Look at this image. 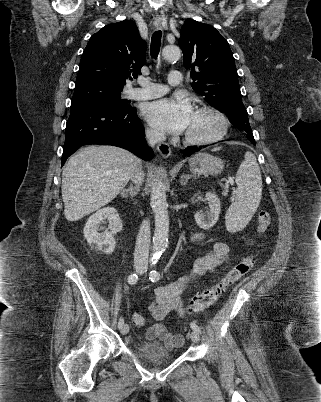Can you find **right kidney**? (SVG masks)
<instances>
[{"label": "right kidney", "mask_w": 321, "mask_h": 402, "mask_svg": "<svg viewBox=\"0 0 321 402\" xmlns=\"http://www.w3.org/2000/svg\"><path fill=\"white\" fill-rule=\"evenodd\" d=\"M107 220L108 229L104 233H99V224ZM122 230V220L113 207H105L91 215L83 229L84 237L88 244L96 249L110 254L115 249L114 235Z\"/></svg>", "instance_id": "ca27d5eb"}]
</instances>
